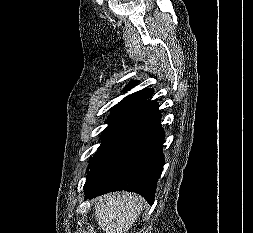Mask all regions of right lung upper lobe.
<instances>
[{"label": "right lung upper lobe", "mask_w": 253, "mask_h": 233, "mask_svg": "<svg viewBox=\"0 0 253 233\" xmlns=\"http://www.w3.org/2000/svg\"><path fill=\"white\" fill-rule=\"evenodd\" d=\"M135 85L136 81H132L129 85L126 86L124 91H127L128 89L134 87ZM153 92H154L153 89H144L125 97L120 103H130L137 105L148 99L153 94Z\"/></svg>", "instance_id": "cb5924a9"}]
</instances>
